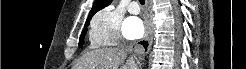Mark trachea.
<instances>
[{"mask_svg":"<svg viewBox=\"0 0 246 69\" xmlns=\"http://www.w3.org/2000/svg\"><path fill=\"white\" fill-rule=\"evenodd\" d=\"M139 2L143 5L145 3L144 0H139Z\"/></svg>","mask_w":246,"mask_h":69,"instance_id":"trachea-1","label":"trachea"}]
</instances>
